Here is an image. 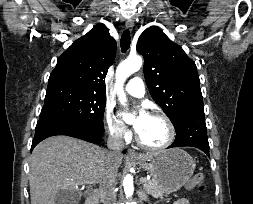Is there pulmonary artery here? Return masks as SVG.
Instances as JSON below:
<instances>
[{
	"label": "pulmonary artery",
	"mask_w": 253,
	"mask_h": 204,
	"mask_svg": "<svg viewBox=\"0 0 253 204\" xmlns=\"http://www.w3.org/2000/svg\"><path fill=\"white\" fill-rule=\"evenodd\" d=\"M125 92L133 97L142 98L145 95L144 81L140 77H133L125 86Z\"/></svg>",
	"instance_id": "1"
}]
</instances>
